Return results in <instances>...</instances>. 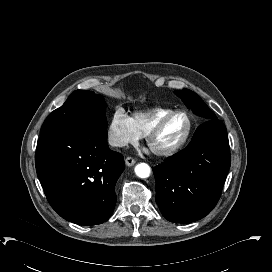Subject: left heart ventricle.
<instances>
[{"label": "left heart ventricle", "instance_id": "left-heart-ventricle-1", "mask_svg": "<svg viewBox=\"0 0 272 272\" xmlns=\"http://www.w3.org/2000/svg\"><path fill=\"white\" fill-rule=\"evenodd\" d=\"M187 130V120L178 115L171 118L161 132L151 141V148L163 150L177 145L184 137Z\"/></svg>", "mask_w": 272, "mask_h": 272}]
</instances>
